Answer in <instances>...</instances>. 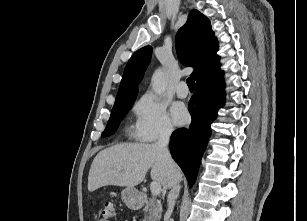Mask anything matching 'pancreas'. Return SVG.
I'll use <instances>...</instances> for the list:
<instances>
[{"instance_id":"pancreas-1","label":"pancreas","mask_w":307,"mask_h":221,"mask_svg":"<svg viewBox=\"0 0 307 221\" xmlns=\"http://www.w3.org/2000/svg\"><path fill=\"white\" fill-rule=\"evenodd\" d=\"M143 221H160L162 204L159 200L149 198L145 200Z\"/></svg>"}]
</instances>
